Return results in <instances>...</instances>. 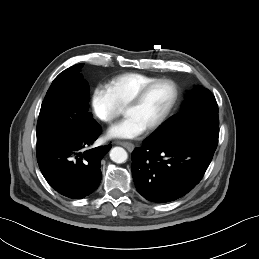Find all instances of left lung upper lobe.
I'll return each mask as SVG.
<instances>
[{
    "label": "left lung upper lobe",
    "mask_w": 259,
    "mask_h": 259,
    "mask_svg": "<svg viewBox=\"0 0 259 259\" xmlns=\"http://www.w3.org/2000/svg\"><path fill=\"white\" fill-rule=\"evenodd\" d=\"M195 126L219 127L215 97L208 89L201 86H194V89L188 92L181 111L172 116L150 137L158 141H167Z\"/></svg>",
    "instance_id": "5c2ea615"
}]
</instances>
